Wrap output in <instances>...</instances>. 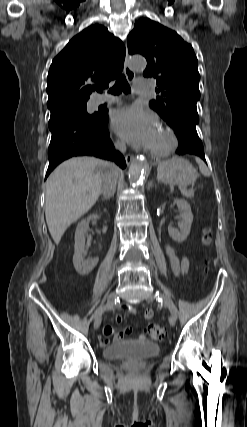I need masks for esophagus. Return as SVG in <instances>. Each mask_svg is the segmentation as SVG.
I'll use <instances>...</instances> for the list:
<instances>
[{"label":"esophagus","mask_w":247,"mask_h":427,"mask_svg":"<svg viewBox=\"0 0 247 427\" xmlns=\"http://www.w3.org/2000/svg\"><path fill=\"white\" fill-rule=\"evenodd\" d=\"M124 74L126 75V78L129 82H132L135 79V73L130 68L129 63H128L127 48H126V56H125V62H124ZM125 160H126L127 165H129L134 160V156L131 154H127L125 156Z\"/></svg>","instance_id":"obj_1"}]
</instances>
